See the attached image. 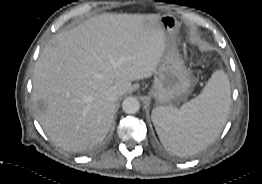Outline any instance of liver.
Listing matches in <instances>:
<instances>
[{
    "label": "liver",
    "instance_id": "liver-1",
    "mask_svg": "<svg viewBox=\"0 0 262 184\" xmlns=\"http://www.w3.org/2000/svg\"><path fill=\"white\" fill-rule=\"evenodd\" d=\"M157 14L106 13L56 34L34 69L36 118L49 139L67 151L100 143L114 120L116 103L134 80L149 78L169 40Z\"/></svg>",
    "mask_w": 262,
    "mask_h": 184
}]
</instances>
